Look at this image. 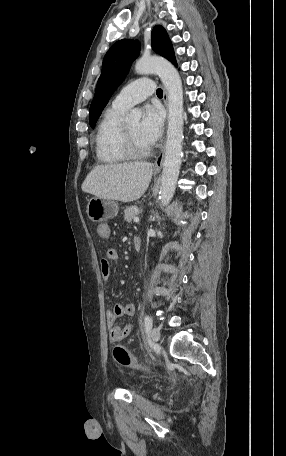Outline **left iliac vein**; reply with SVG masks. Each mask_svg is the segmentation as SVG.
I'll return each mask as SVG.
<instances>
[{
	"instance_id": "obj_1",
	"label": "left iliac vein",
	"mask_w": 286,
	"mask_h": 456,
	"mask_svg": "<svg viewBox=\"0 0 286 456\" xmlns=\"http://www.w3.org/2000/svg\"><path fill=\"white\" fill-rule=\"evenodd\" d=\"M151 340L157 343L160 339V331L158 328H152L150 332Z\"/></svg>"
}]
</instances>
